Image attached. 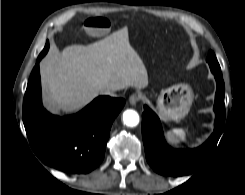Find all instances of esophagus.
Wrapping results in <instances>:
<instances>
[{
	"mask_svg": "<svg viewBox=\"0 0 245 195\" xmlns=\"http://www.w3.org/2000/svg\"><path fill=\"white\" fill-rule=\"evenodd\" d=\"M141 100V95L138 93H134L129 97V103L134 106Z\"/></svg>",
	"mask_w": 245,
	"mask_h": 195,
	"instance_id": "esophagus-1",
	"label": "esophagus"
}]
</instances>
